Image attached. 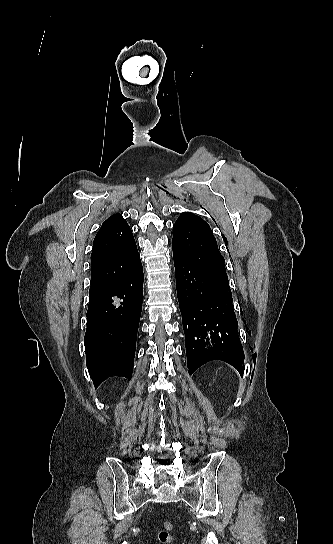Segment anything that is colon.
Instances as JSON below:
<instances>
[{
	"instance_id": "colon-1",
	"label": "colon",
	"mask_w": 333,
	"mask_h": 544,
	"mask_svg": "<svg viewBox=\"0 0 333 544\" xmlns=\"http://www.w3.org/2000/svg\"><path fill=\"white\" fill-rule=\"evenodd\" d=\"M174 528L172 522L166 521L163 523L162 528L158 532V540L162 544H173V538L171 532Z\"/></svg>"
}]
</instances>
